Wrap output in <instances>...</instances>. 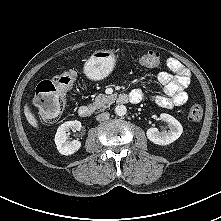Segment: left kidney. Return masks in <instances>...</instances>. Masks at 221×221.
<instances>
[{
    "mask_svg": "<svg viewBox=\"0 0 221 221\" xmlns=\"http://www.w3.org/2000/svg\"><path fill=\"white\" fill-rule=\"evenodd\" d=\"M160 119L168 123L170 130L159 132L157 128H149L146 133L147 138L154 144H171L181 136L183 132V127L177 119L169 114L162 113L160 115Z\"/></svg>",
    "mask_w": 221,
    "mask_h": 221,
    "instance_id": "1",
    "label": "left kidney"
}]
</instances>
